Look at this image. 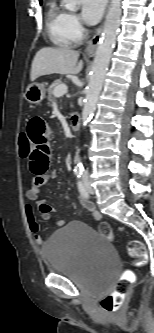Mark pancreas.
Wrapping results in <instances>:
<instances>
[{"instance_id": "cf45deb5", "label": "pancreas", "mask_w": 154, "mask_h": 333, "mask_svg": "<svg viewBox=\"0 0 154 333\" xmlns=\"http://www.w3.org/2000/svg\"><path fill=\"white\" fill-rule=\"evenodd\" d=\"M63 84L61 79L55 80L48 88H47V93H48V104L51 105V102L53 101V90L56 86Z\"/></svg>"}]
</instances>
